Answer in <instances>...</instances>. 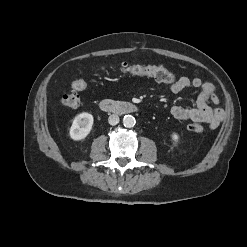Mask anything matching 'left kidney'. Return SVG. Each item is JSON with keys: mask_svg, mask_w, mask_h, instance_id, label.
I'll use <instances>...</instances> for the list:
<instances>
[{"mask_svg": "<svg viewBox=\"0 0 247 247\" xmlns=\"http://www.w3.org/2000/svg\"><path fill=\"white\" fill-rule=\"evenodd\" d=\"M171 138H172V140L174 141V142H179V135L177 134V133H173L172 135H171Z\"/></svg>", "mask_w": 247, "mask_h": 247, "instance_id": "1", "label": "left kidney"}]
</instances>
